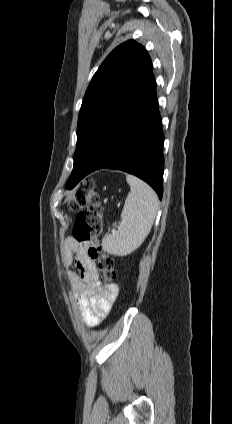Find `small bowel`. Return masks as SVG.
<instances>
[{"instance_id":"1","label":"small bowel","mask_w":232,"mask_h":424,"mask_svg":"<svg viewBox=\"0 0 232 424\" xmlns=\"http://www.w3.org/2000/svg\"><path fill=\"white\" fill-rule=\"evenodd\" d=\"M87 250V244L68 237L61 247V260L77 309L84 323L88 327H94L110 312L117 288L102 285L94 260ZM73 266L76 271L71 269Z\"/></svg>"}]
</instances>
